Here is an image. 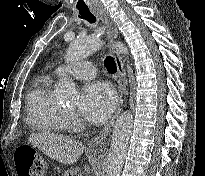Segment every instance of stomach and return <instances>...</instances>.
<instances>
[{
	"label": "stomach",
	"mask_w": 205,
	"mask_h": 176,
	"mask_svg": "<svg viewBox=\"0 0 205 176\" xmlns=\"http://www.w3.org/2000/svg\"><path fill=\"white\" fill-rule=\"evenodd\" d=\"M27 146H29V145H27ZM31 149H34L32 146H29ZM66 176H68V174H66Z\"/></svg>",
	"instance_id": "obj_1"
}]
</instances>
